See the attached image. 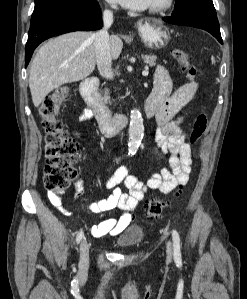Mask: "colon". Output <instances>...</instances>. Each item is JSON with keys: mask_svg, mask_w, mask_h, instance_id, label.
Here are the masks:
<instances>
[{"mask_svg": "<svg viewBox=\"0 0 247 299\" xmlns=\"http://www.w3.org/2000/svg\"><path fill=\"white\" fill-rule=\"evenodd\" d=\"M172 57L180 68L190 78L197 76L196 68L191 64L189 54L180 49L172 51ZM69 95L68 89L58 90L48 96L41 107L42 128L45 134V169L44 184L46 188L56 194H61L75 179L77 175L74 166L78 144L69 137L64 130L61 121L58 119V112ZM208 118L204 111H201L194 120L190 143L196 144L207 129ZM179 196V193L176 194ZM169 201L150 199L146 204L147 216L156 219L162 210L169 205Z\"/></svg>", "mask_w": 247, "mask_h": 299, "instance_id": "1", "label": "colon"}]
</instances>
